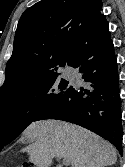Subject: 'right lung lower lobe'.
<instances>
[{
	"mask_svg": "<svg viewBox=\"0 0 125 167\" xmlns=\"http://www.w3.org/2000/svg\"><path fill=\"white\" fill-rule=\"evenodd\" d=\"M75 67L90 82L88 88H73L52 102L33 121L57 119L78 124L112 143L122 154L119 75L109 27L86 49Z\"/></svg>",
	"mask_w": 125,
	"mask_h": 167,
	"instance_id": "right-lung-lower-lobe-1",
	"label": "right lung lower lobe"
}]
</instances>
